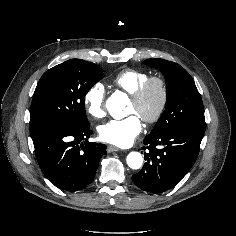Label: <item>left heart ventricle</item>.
<instances>
[{"mask_svg": "<svg viewBox=\"0 0 236 236\" xmlns=\"http://www.w3.org/2000/svg\"><path fill=\"white\" fill-rule=\"evenodd\" d=\"M159 99H160L159 90L156 86H154L149 91L147 97L140 106L136 105L131 100L129 111L130 113H137L138 115L152 114L158 106Z\"/></svg>", "mask_w": 236, "mask_h": 236, "instance_id": "1", "label": "left heart ventricle"}]
</instances>
